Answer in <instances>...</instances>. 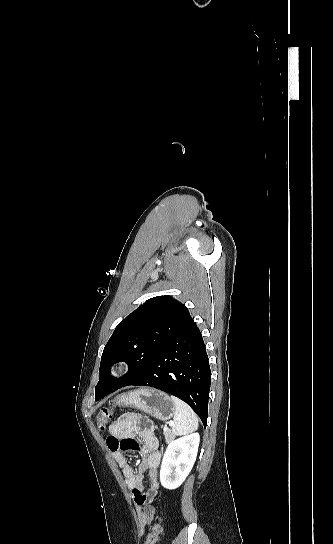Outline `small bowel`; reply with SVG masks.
Masks as SVG:
<instances>
[{"mask_svg":"<svg viewBox=\"0 0 333 544\" xmlns=\"http://www.w3.org/2000/svg\"><path fill=\"white\" fill-rule=\"evenodd\" d=\"M140 439V443L136 441ZM106 444L116 463L122 469V475L128 489L131 491L137 506L138 526L144 533L154 518L155 509L147 503L150 497L156 495L159 489L158 468L161 462V452L158 440L153 431L150 419L139 414H125L114 420L109 426V436ZM138 451L143 459L139 472L128 462L125 452ZM146 474L150 488L144 491L143 478Z\"/></svg>","mask_w":333,"mask_h":544,"instance_id":"obj_1","label":"small bowel"}]
</instances>
